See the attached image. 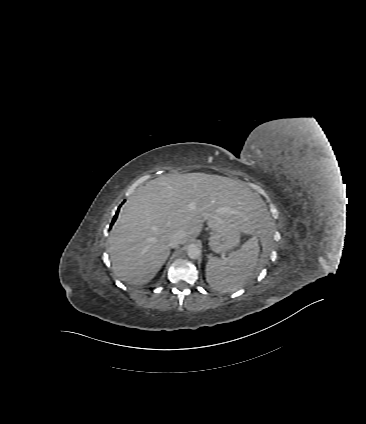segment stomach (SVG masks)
<instances>
[{"instance_id": "0dacf381", "label": "stomach", "mask_w": 366, "mask_h": 424, "mask_svg": "<svg viewBox=\"0 0 366 424\" xmlns=\"http://www.w3.org/2000/svg\"><path fill=\"white\" fill-rule=\"evenodd\" d=\"M240 235L241 231L237 227L215 231L209 240V247L215 253H224L238 245Z\"/></svg>"}]
</instances>
